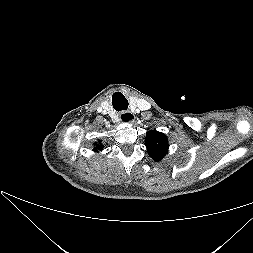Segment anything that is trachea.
I'll return each instance as SVG.
<instances>
[{
    "label": "trachea",
    "mask_w": 253,
    "mask_h": 253,
    "mask_svg": "<svg viewBox=\"0 0 253 253\" xmlns=\"http://www.w3.org/2000/svg\"><path fill=\"white\" fill-rule=\"evenodd\" d=\"M127 108H128V101L127 100L122 101V102H120V104L115 106V109L117 111L126 110Z\"/></svg>",
    "instance_id": "obj_1"
}]
</instances>
